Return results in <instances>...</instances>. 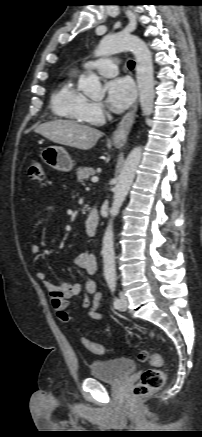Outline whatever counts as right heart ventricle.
Wrapping results in <instances>:
<instances>
[{
	"instance_id": "1",
	"label": "right heart ventricle",
	"mask_w": 202,
	"mask_h": 437,
	"mask_svg": "<svg viewBox=\"0 0 202 437\" xmlns=\"http://www.w3.org/2000/svg\"><path fill=\"white\" fill-rule=\"evenodd\" d=\"M75 72L64 78L52 93L50 104L54 115L76 123H88L86 114L87 97L75 86Z\"/></svg>"
}]
</instances>
